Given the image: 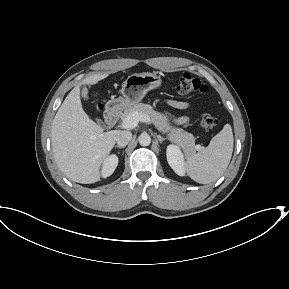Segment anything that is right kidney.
Returning a JSON list of instances; mask_svg holds the SVG:
<instances>
[{"label":"right kidney","instance_id":"obj_1","mask_svg":"<svg viewBox=\"0 0 289 289\" xmlns=\"http://www.w3.org/2000/svg\"><path fill=\"white\" fill-rule=\"evenodd\" d=\"M118 165V157L116 155L107 156L102 165V176L104 178L110 176Z\"/></svg>","mask_w":289,"mask_h":289}]
</instances>
